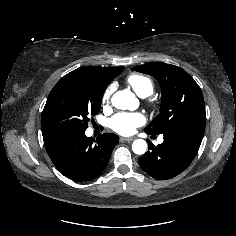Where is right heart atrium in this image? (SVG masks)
<instances>
[{
    "label": "right heart atrium",
    "instance_id": "right-heart-atrium-1",
    "mask_svg": "<svg viewBox=\"0 0 236 236\" xmlns=\"http://www.w3.org/2000/svg\"><path fill=\"white\" fill-rule=\"evenodd\" d=\"M113 86H109L102 95V104L104 107H108L110 104L111 96L113 93Z\"/></svg>",
    "mask_w": 236,
    "mask_h": 236
}]
</instances>
